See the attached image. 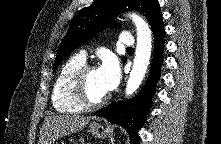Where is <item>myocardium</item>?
<instances>
[{
    "label": "myocardium",
    "mask_w": 221,
    "mask_h": 144,
    "mask_svg": "<svg viewBox=\"0 0 221 144\" xmlns=\"http://www.w3.org/2000/svg\"><path fill=\"white\" fill-rule=\"evenodd\" d=\"M96 69L94 65L85 64L75 75L73 79V93L75 99L85 108L97 107L104 104L109 95L106 93L98 99H92L87 90V77L90 71Z\"/></svg>",
    "instance_id": "obj_1"
}]
</instances>
